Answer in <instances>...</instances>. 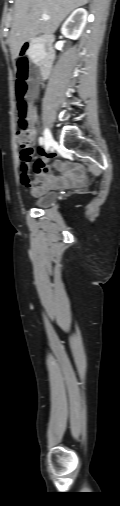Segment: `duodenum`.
<instances>
[{
    "label": "duodenum",
    "mask_w": 120,
    "mask_h": 506,
    "mask_svg": "<svg viewBox=\"0 0 120 506\" xmlns=\"http://www.w3.org/2000/svg\"><path fill=\"white\" fill-rule=\"evenodd\" d=\"M52 37L37 35L28 40L23 46L20 47L19 56L26 58L28 56V48L32 45H39L43 47V56L39 61V69L42 75H47L50 71L54 60V50L51 46Z\"/></svg>",
    "instance_id": "410a0bca"
}]
</instances>
